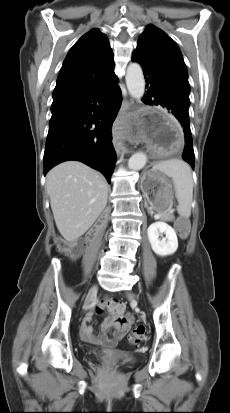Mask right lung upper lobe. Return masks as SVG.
<instances>
[{"instance_id":"right-lung-upper-lobe-1","label":"right lung upper lobe","mask_w":230,"mask_h":413,"mask_svg":"<svg viewBox=\"0 0 230 413\" xmlns=\"http://www.w3.org/2000/svg\"><path fill=\"white\" fill-rule=\"evenodd\" d=\"M114 74L113 53L105 34L93 29L67 54L59 72L53 98L84 91Z\"/></svg>"}]
</instances>
